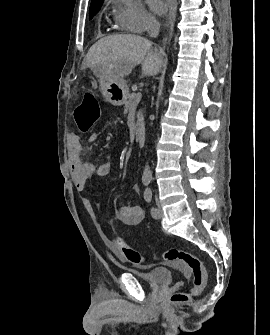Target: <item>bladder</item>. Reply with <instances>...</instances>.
<instances>
[{"label":"bladder","mask_w":270,"mask_h":335,"mask_svg":"<svg viewBox=\"0 0 270 335\" xmlns=\"http://www.w3.org/2000/svg\"><path fill=\"white\" fill-rule=\"evenodd\" d=\"M138 276L141 282L150 284L152 287L170 286L174 272L167 268L153 269L149 272L130 271Z\"/></svg>","instance_id":"obj_1"}]
</instances>
